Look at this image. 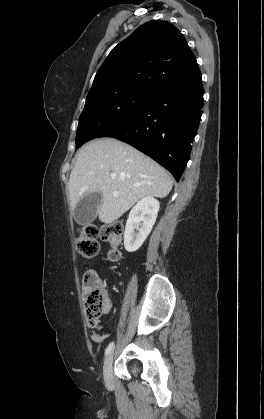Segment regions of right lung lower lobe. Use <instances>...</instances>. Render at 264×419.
<instances>
[{
	"instance_id": "1",
	"label": "right lung lower lobe",
	"mask_w": 264,
	"mask_h": 419,
	"mask_svg": "<svg viewBox=\"0 0 264 419\" xmlns=\"http://www.w3.org/2000/svg\"><path fill=\"white\" fill-rule=\"evenodd\" d=\"M202 79L154 92L127 119L102 133L130 144L169 170L178 182L202 115Z\"/></svg>"
}]
</instances>
